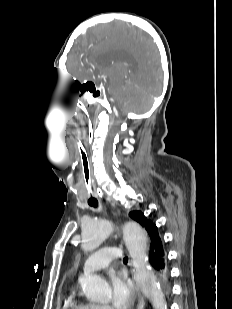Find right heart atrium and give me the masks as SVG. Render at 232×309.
<instances>
[{
  "label": "right heart atrium",
  "mask_w": 232,
  "mask_h": 309,
  "mask_svg": "<svg viewBox=\"0 0 232 309\" xmlns=\"http://www.w3.org/2000/svg\"><path fill=\"white\" fill-rule=\"evenodd\" d=\"M99 309H110V308L108 306H105V305H102V306L99 305Z\"/></svg>",
  "instance_id": "1"
}]
</instances>
